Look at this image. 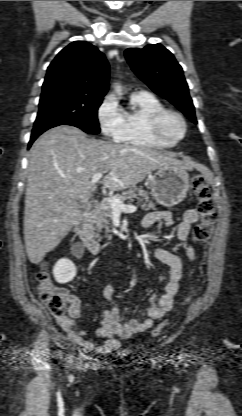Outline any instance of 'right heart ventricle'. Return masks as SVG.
Returning a JSON list of instances; mask_svg holds the SVG:
<instances>
[{
	"label": "right heart ventricle",
	"instance_id": "e07e8e85",
	"mask_svg": "<svg viewBox=\"0 0 242 416\" xmlns=\"http://www.w3.org/2000/svg\"><path fill=\"white\" fill-rule=\"evenodd\" d=\"M164 108L162 102L152 93L135 91L130 97V106L123 111L124 129L118 142L135 146L168 148L174 144L157 139L150 131L151 116Z\"/></svg>",
	"mask_w": 242,
	"mask_h": 416
}]
</instances>
